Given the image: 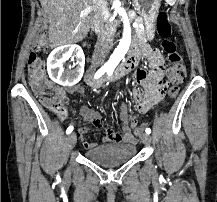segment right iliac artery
<instances>
[{"instance_id":"1","label":"right iliac artery","mask_w":217,"mask_h":202,"mask_svg":"<svg viewBox=\"0 0 217 202\" xmlns=\"http://www.w3.org/2000/svg\"><path fill=\"white\" fill-rule=\"evenodd\" d=\"M105 73V71H101V70H98L96 73H95V79L101 77L103 74ZM73 131V126H69L66 130V133L67 134H70L71 132Z\"/></svg>"}]
</instances>
